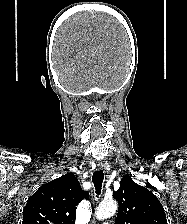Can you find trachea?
Wrapping results in <instances>:
<instances>
[{"label": "trachea", "instance_id": "obj_1", "mask_svg": "<svg viewBox=\"0 0 187 224\" xmlns=\"http://www.w3.org/2000/svg\"><path fill=\"white\" fill-rule=\"evenodd\" d=\"M103 179H104L103 170H99L93 173L92 181L95 187V193L97 195L101 194Z\"/></svg>", "mask_w": 187, "mask_h": 224}]
</instances>
